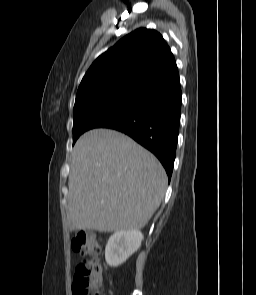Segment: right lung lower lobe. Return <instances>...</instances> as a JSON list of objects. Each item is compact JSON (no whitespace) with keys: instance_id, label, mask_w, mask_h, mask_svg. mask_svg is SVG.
I'll use <instances>...</instances> for the list:
<instances>
[{"instance_id":"right-lung-lower-lobe-1","label":"right lung lower lobe","mask_w":256,"mask_h":295,"mask_svg":"<svg viewBox=\"0 0 256 295\" xmlns=\"http://www.w3.org/2000/svg\"><path fill=\"white\" fill-rule=\"evenodd\" d=\"M179 73L174 61L136 92L133 102L99 127L121 131L150 150L171 178L181 112Z\"/></svg>"}]
</instances>
